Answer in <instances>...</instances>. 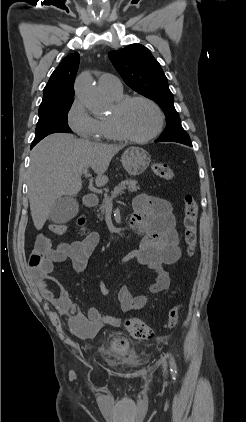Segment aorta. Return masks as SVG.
Returning <instances> with one entry per match:
<instances>
[{
	"mask_svg": "<svg viewBox=\"0 0 246 422\" xmlns=\"http://www.w3.org/2000/svg\"><path fill=\"white\" fill-rule=\"evenodd\" d=\"M76 97L95 115L105 111L103 98L90 73L80 75L75 82Z\"/></svg>",
	"mask_w": 246,
	"mask_h": 422,
	"instance_id": "762f6f07",
	"label": "aorta"
}]
</instances>
